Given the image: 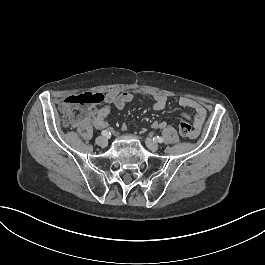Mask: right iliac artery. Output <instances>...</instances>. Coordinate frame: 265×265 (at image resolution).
<instances>
[{"mask_svg": "<svg viewBox=\"0 0 265 265\" xmlns=\"http://www.w3.org/2000/svg\"><path fill=\"white\" fill-rule=\"evenodd\" d=\"M101 134H102L103 136H107V135H109L110 133H108V131H106V130H103V131L101 132Z\"/></svg>", "mask_w": 265, "mask_h": 265, "instance_id": "1", "label": "right iliac artery"}]
</instances>
